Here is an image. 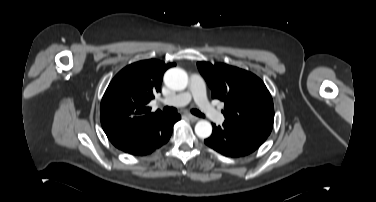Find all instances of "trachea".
I'll return each instance as SVG.
<instances>
[{
    "label": "trachea",
    "instance_id": "obj_1",
    "mask_svg": "<svg viewBox=\"0 0 376 202\" xmlns=\"http://www.w3.org/2000/svg\"><path fill=\"white\" fill-rule=\"evenodd\" d=\"M165 113H176L177 109L174 107H165L164 109ZM191 113L198 116V117H205L204 114H202L199 110L197 109H191Z\"/></svg>",
    "mask_w": 376,
    "mask_h": 202
}]
</instances>
